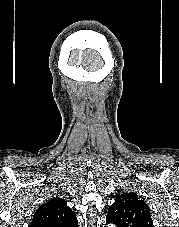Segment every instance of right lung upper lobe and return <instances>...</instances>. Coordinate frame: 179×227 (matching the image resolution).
<instances>
[{
  "mask_svg": "<svg viewBox=\"0 0 179 227\" xmlns=\"http://www.w3.org/2000/svg\"><path fill=\"white\" fill-rule=\"evenodd\" d=\"M30 227H78V221L62 198H52L35 212Z\"/></svg>",
  "mask_w": 179,
  "mask_h": 227,
  "instance_id": "cb5924a9",
  "label": "right lung upper lobe"
}]
</instances>
